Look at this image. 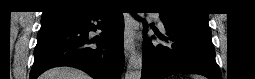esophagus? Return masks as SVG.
<instances>
[{"label":"esophagus","mask_w":255,"mask_h":79,"mask_svg":"<svg viewBox=\"0 0 255 79\" xmlns=\"http://www.w3.org/2000/svg\"><path fill=\"white\" fill-rule=\"evenodd\" d=\"M124 19H125L124 52L126 58H128L130 54L134 52L135 49L134 34L135 31L138 29V22L129 13L124 14Z\"/></svg>","instance_id":"esophagus-1"}]
</instances>
